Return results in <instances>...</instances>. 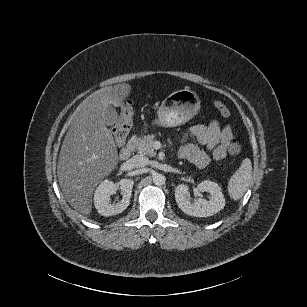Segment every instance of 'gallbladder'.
<instances>
[{
  "mask_svg": "<svg viewBox=\"0 0 307 307\" xmlns=\"http://www.w3.org/2000/svg\"><path fill=\"white\" fill-rule=\"evenodd\" d=\"M104 111L106 113L105 119H106V125L109 128H114L117 125V118H118V113L115 110L114 107L107 105L104 108Z\"/></svg>",
  "mask_w": 307,
  "mask_h": 307,
  "instance_id": "1",
  "label": "gallbladder"
}]
</instances>
